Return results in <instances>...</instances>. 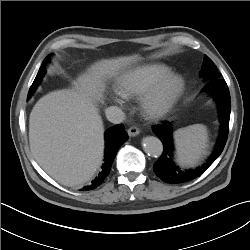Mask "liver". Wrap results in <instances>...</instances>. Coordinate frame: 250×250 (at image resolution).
Returning a JSON list of instances; mask_svg holds the SVG:
<instances>
[{"label": "liver", "mask_w": 250, "mask_h": 250, "mask_svg": "<svg viewBox=\"0 0 250 250\" xmlns=\"http://www.w3.org/2000/svg\"><path fill=\"white\" fill-rule=\"evenodd\" d=\"M136 56L102 60L80 75L72 89L40 98L29 117V142L41 168L65 186L90 180L100 167L104 126L94 100L101 96L102 78L114 75Z\"/></svg>", "instance_id": "liver-1"}]
</instances>
